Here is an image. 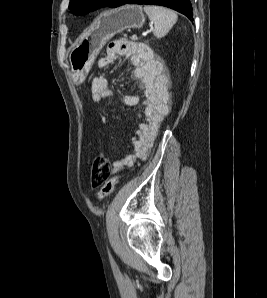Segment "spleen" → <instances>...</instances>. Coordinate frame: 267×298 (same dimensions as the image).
Here are the masks:
<instances>
[{"label": "spleen", "mask_w": 267, "mask_h": 298, "mask_svg": "<svg viewBox=\"0 0 267 298\" xmlns=\"http://www.w3.org/2000/svg\"><path fill=\"white\" fill-rule=\"evenodd\" d=\"M144 11L150 21L154 24V35L157 38L164 37L177 22V14L165 7L144 6Z\"/></svg>", "instance_id": "spleen-1"}]
</instances>
